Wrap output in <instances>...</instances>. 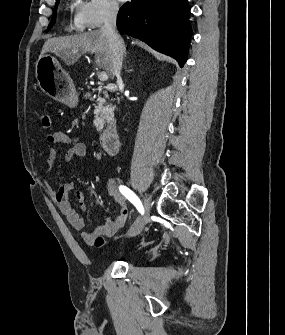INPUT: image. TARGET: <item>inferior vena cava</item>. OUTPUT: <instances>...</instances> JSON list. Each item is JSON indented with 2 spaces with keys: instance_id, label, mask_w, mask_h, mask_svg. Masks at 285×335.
<instances>
[{
  "instance_id": "obj_1",
  "label": "inferior vena cava",
  "mask_w": 285,
  "mask_h": 335,
  "mask_svg": "<svg viewBox=\"0 0 285 335\" xmlns=\"http://www.w3.org/2000/svg\"><path fill=\"white\" fill-rule=\"evenodd\" d=\"M118 4L116 0H106V14L104 24L100 28L102 34H106L110 50L112 52V66L115 76H118V82L121 74L123 56L126 54L125 44L116 30V18L118 14Z\"/></svg>"
}]
</instances>
